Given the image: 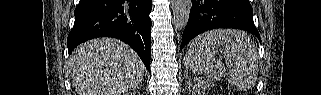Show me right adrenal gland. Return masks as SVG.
I'll list each match as a JSON object with an SVG mask.
<instances>
[{
	"mask_svg": "<svg viewBox=\"0 0 321 95\" xmlns=\"http://www.w3.org/2000/svg\"><path fill=\"white\" fill-rule=\"evenodd\" d=\"M141 86H142V83L140 84V86H138V87H137V89H140V88H141Z\"/></svg>",
	"mask_w": 321,
	"mask_h": 95,
	"instance_id": "1",
	"label": "right adrenal gland"
}]
</instances>
